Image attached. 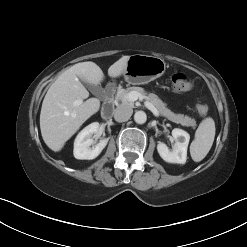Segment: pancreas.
<instances>
[{
    "instance_id": "obj_1",
    "label": "pancreas",
    "mask_w": 247,
    "mask_h": 247,
    "mask_svg": "<svg viewBox=\"0 0 247 247\" xmlns=\"http://www.w3.org/2000/svg\"><path fill=\"white\" fill-rule=\"evenodd\" d=\"M132 91L138 92L141 97L150 102L158 110L161 116L166 117L168 120L183 126H190L193 129L196 127L195 119L187 115L173 113L171 110L166 108V105L157 95L147 93L142 87H129L127 89L119 88L116 94V100L121 101L124 105L133 106V102L127 99V94Z\"/></svg>"
}]
</instances>
